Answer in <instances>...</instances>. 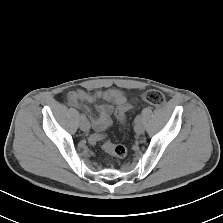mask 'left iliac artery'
<instances>
[{
	"instance_id": "left-iliac-artery-1",
	"label": "left iliac artery",
	"mask_w": 223,
	"mask_h": 223,
	"mask_svg": "<svg viewBox=\"0 0 223 223\" xmlns=\"http://www.w3.org/2000/svg\"><path fill=\"white\" fill-rule=\"evenodd\" d=\"M141 120H142L141 115H137V116L135 117V123L140 122Z\"/></svg>"
}]
</instances>
